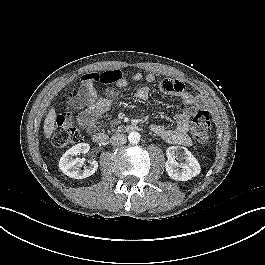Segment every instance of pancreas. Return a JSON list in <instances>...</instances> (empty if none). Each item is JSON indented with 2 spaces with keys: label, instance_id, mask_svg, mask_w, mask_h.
I'll list each match as a JSON object with an SVG mask.
<instances>
[{
  "label": "pancreas",
  "instance_id": "cf45deb5",
  "mask_svg": "<svg viewBox=\"0 0 265 265\" xmlns=\"http://www.w3.org/2000/svg\"><path fill=\"white\" fill-rule=\"evenodd\" d=\"M118 123H119V122H118ZM122 129H123V126H119V127H118V131H119V130H122Z\"/></svg>",
  "mask_w": 265,
  "mask_h": 265
}]
</instances>
